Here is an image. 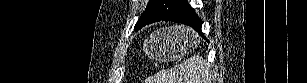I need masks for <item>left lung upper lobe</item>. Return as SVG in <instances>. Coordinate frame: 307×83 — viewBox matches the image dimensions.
<instances>
[{
    "mask_svg": "<svg viewBox=\"0 0 307 83\" xmlns=\"http://www.w3.org/2000/svg\"><path fill=\"white\" fill-rule=\"evenodd\" d=\"M177 0H150L145 11L140 16L136 29L147 24L162 20L172 9Z\"/></svg>",
    "mask_w": 307,
    "mask_h": 83,
    "instance_id": "5c2ea615",
    "label": "left lung upper lobe"
}]
</instances>
